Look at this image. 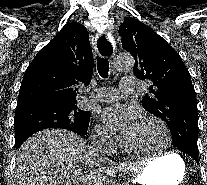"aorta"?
Returning a JSON list of instances; mask_svg holds the SVG:
<instances>
[{"label":"aorta","mask_w":207,"mask_h":185,"mask_svg":"<svg viewBox=\"0 0 207 185\" xmlns=\"http://www.w3.org/2000/svg\"><path fill=\"white\" fill-rule=\"evenodd\" d=\"M113 65L119 71H129L134 66V59L128 53H121L114 58Z\"/></svg>","instance_id":"aorta-1"}]
</instances>
